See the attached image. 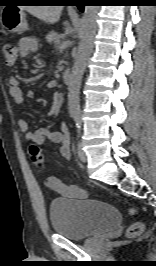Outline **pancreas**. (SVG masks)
Here are the masks:
<instances>
[{"label":"pancreas","mask_w":156,"mask_h":266,"mask_svg":"<svg viewBox=\"0 0 156 266\" xmlns=\"http://www.w3.org/2000/svg\"><path fill=\"white\" fill-rule=\"evenodd\" d=\"M46 41L49 44H54L55 46H57L60 43V35L57 32H55V31H51L46 36Z\"/></svg>","instance_id":"cf45deb5"}]
</instances>
